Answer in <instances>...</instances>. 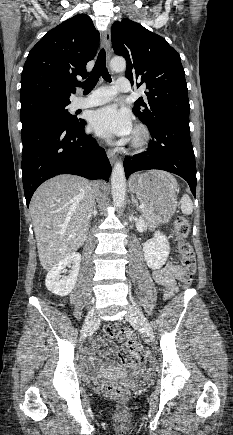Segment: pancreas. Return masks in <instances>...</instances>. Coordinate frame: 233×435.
<instances>
[{
	"mask_svg": "<svg viewBox=\"0 0 233 435\" xmlns=\"http://www.w3.org/2000/svg\"><path fill=\"white\" fill-rule=\"evenodd\" d=\"M144 205L145 207L141 209L142 217L147 221L150 226H153L157 223L156 216L149 206H147L146 204Z\"/></svg>",
	"mask_w": 233,
	"mask_h": 435,
	"instance_id": "1",
	"label": "pancreas"
}]
</instances>
